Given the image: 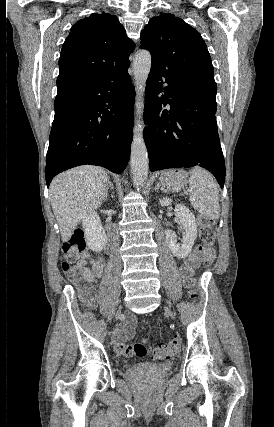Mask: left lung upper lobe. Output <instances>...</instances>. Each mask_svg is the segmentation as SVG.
<instances>
[{"instance_id": "5c2ea615", "label": "left lung upper lobe", "mask_w": 274, "mask_h": 427, "mask_svg": "<svg viewBox=\"0 0 274 427\" xmlns=\"http://www.w3.org/2000/svg\"><path fill=\"white\" fill-rule=\"evenodd\" d=\"M140 39V48L150 51L152 64L190 82L217 88L205 42L181 18L170 13L153 17Z\"/></svg>"}]
</instances>
